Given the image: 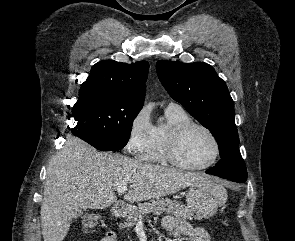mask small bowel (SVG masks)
<instances>
[{
  "label": "small bowel",
  "mask_w": 295,
  "mask_h": 241,
  "mask_svg": "<svg viewBox=\"0 0 295 241\" xmlns=\"http://www.w3.org/2000/svg\"><path fill=\"white\" fill-rule=\"evenodd\" d=\"M163 228L173 237H186L189 241H211L209 234L202 228L193 227L188 222L171 215L163 218ZM101 241H116L113 233L109 232Z\"/></svg>",
  "instance_id": "1"
}]
</instances>
